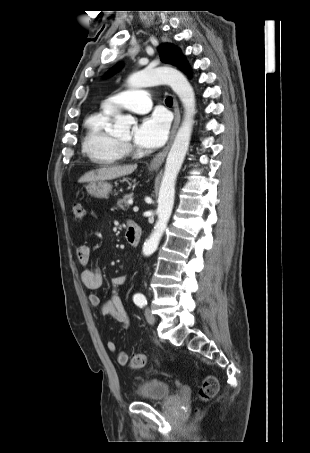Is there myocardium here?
Listing matches in <instances>:
<instances>
[{
  "label": "myocardium",
  "instance_id": "f54148a6",
  "mask_svg": "<svg viewBox=\"0 0 310 453\" xmlns=\"http://www.w3.org/2000/svg\"><path fill=\"white\" fill-rule=\"evenodd\" d=\"M125 148L129 147L130 144L128 141H121V140H118Z\"/></svg>",
  "mask_w": 310,
  "mask_h": 453
}]
</instances>
